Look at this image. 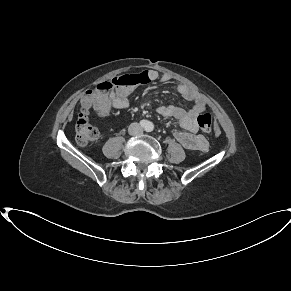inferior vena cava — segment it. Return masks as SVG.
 <instances>
[{
    "label": "inferior vena cava",
    "mask_w": 291,
    "mask_h": 291,
    "mask_svg": "<svg viewBox=\"0 0 291 291\" xmlns=\"http://www.w3.org/2000/svg\"><path fill=\"white\" fill-rule=\"evenodd\" d=\"M129 133L134 136L141 135L143 133V128L139 123H131L129 126Z\"/></svg>",
    "instance_id": "1"
}]
</instances>
